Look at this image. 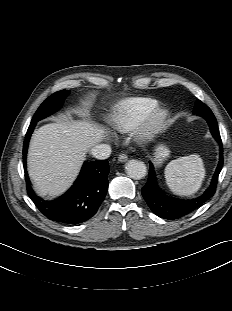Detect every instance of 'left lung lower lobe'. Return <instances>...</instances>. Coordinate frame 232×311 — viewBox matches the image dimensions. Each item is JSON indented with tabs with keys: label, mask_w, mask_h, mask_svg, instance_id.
Instances as JSON below:
<instances>
[{
	"label": "left lung lower lobe",
	"mask_w": 232,
	"mask_h": 311,
	"mask_svg": "<svg viewBox=\"0 0 232 311\" xmlns=\"http://www.w3.org/2000/svg\"><path fill=\"white\" fill-rule=\"evenodd\" d=\"M199 116H202L206 119L209 124L210 131L213 137L217 140L220 145V159L219 164L216 168L214 176L211 180V184L208 189L204 192V194L193 200H178L171 197L166 196L157 185V180L155 176V171L153 165L150 163L148 180L146 185L142 188V195L150 207V209L159 217L169 220H174L181 218L193 210L200 207L204 204L208 199H210L215 191L216 185L218 181L219 173L223 166V149H222V141L217 125V121L215 116L211 112L204 113H196Z\"/></svg>",
	"instance_id": "obj_1"
}]
</instances>
